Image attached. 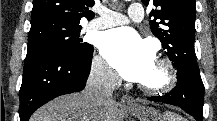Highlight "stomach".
Instances as JSON below:
<instances>
[{"label":"stomach","mask_w":217,"mask_h":121,"mask_svg":"<svg viewBox=\"0 0 217 121\" xmlns=\"http://www.w3.org/2000/svg\"><path fill=\"white\" fill-rule=\"evenodd\" d=\"M139 121H164L163 116L153 107L147 105H137L127 108Z\"/></svg>","instance_id":"0dacf381"}]
</instances>
